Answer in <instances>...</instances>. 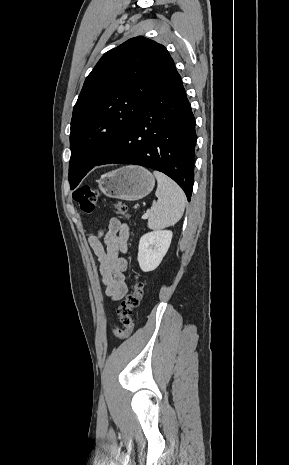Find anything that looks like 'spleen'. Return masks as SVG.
I'll return each instance as SVG.
<instances>
[{"label":"spleen","instance_id":"3e777b00","mask_svg":"<svg viewBox=\"0 0 289 465\" xmlns=\"http://www.w3.org/2000/svg\"><path fill=\"white\" fill-rule=\"evenodd\" d=\"M158 198L147 213L148 227L162 229L175 225L182 217L185 209L186 196L183 190L168 176L155 171Z\"/></svg>","mask_w":289,"mask_h":465}]
</instances>
